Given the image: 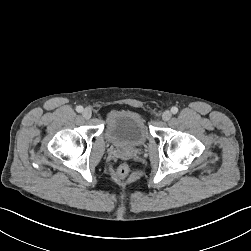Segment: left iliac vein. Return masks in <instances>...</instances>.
Returning a JSON list of instances; mask_svg holds the SVG:
<instances>
[{"mask_svg":"<svg viewBox=\"0 0 251 251\" xmlns=\"http://www.w3.org/2000/svg\"><path fill=\"white\" fill-rule=\"evenodd\" d=\"M171 117H172V113L168 110L164 111L162 114V119L164 121H169Z\"/></svg>","mask_w":251,"mask_h":251,"instance_id":"1","label":"left iliac vein"}]
</instances>
